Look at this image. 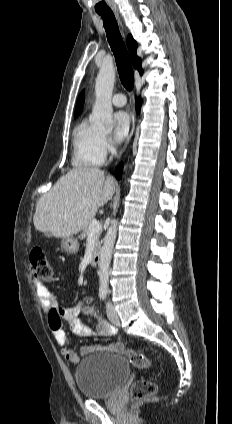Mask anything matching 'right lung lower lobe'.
<instances>
[{
    "label": "right lung lower lobe",
    "mask_w": 232,
    "mask_h": 424,
    "mask_svg": "<svg viewBox=\"0 0 232 424\" xmlns=\"http://www.w3.org/2000/svg\"><path fill=\"white\" fill-rule=\"evenodd\" d=\"M139 109H140V100L138 99V101H137V110H139ZM122 168H123V164L120 163L119 166L117 167V170H116V175H117V177L119 179L121 177Z\"/></svg>",
    "instance_id": "right-lung-lower-lobe-1"
}]
</instances>
